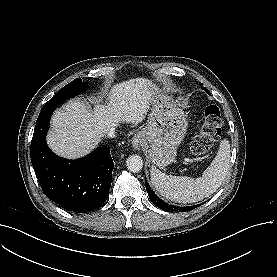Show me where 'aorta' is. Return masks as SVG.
<instances>
[{
    "label": "aorta",
    "instance_id": "762f6f07",
    "mask_svg": "<svg viewBox=\"0 0 277 277\" xmlns=\"http://www.w3.org/2000/svg\"><path fill=\"white\" fill-rule=\"evenodd\" d=\"M127 169L133 173L140 172L143 168V160L139 155H131L126 161Z\"/></svg>",
    "mask_w": 277,
    "mask_h": 277
}]
</instances>
